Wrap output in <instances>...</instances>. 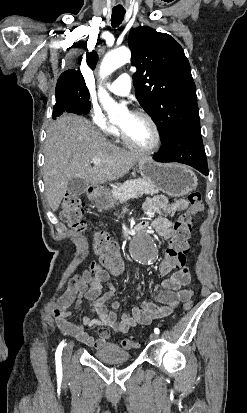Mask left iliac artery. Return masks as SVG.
I'll use <instances>...</instances> for the list:
<instances>
[{
	"instance_id": "obj_1",
	"label": "left iliac artery",
	"mask_w": 247,
	"mask_h": 413,
	"mask_svg": "<svg viewBox=\"0 0 247 413\" xmlns=\"http://www.w3.org/2000/svg\"><path fill=\"white\" fill-rule=\"evenodd\" d=\"M154 332H155V334H159V333H160V331H159L158 328H155V329H154Z\"/></svg>"
}]
</instances>
